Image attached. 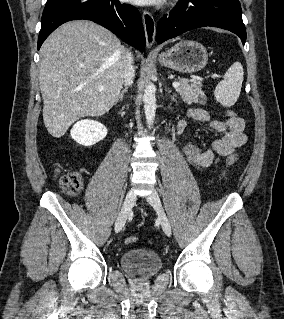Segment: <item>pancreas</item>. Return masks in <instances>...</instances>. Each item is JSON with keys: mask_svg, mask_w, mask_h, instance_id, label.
<instances>
[{"mask_svg": "<svg viewBox=\"0 0 284 319\" xmlns=\"http://www.w3.org/2000/svg\"><path fill=\"white\" fill-rule=\"evenodd\" d=\"M178 82H180L181 85L176 88V91L181 95V98L185 103H198L200 105L206 104L207 97L201 89L202 83L200 81H194L189 84L188 79L179 78Z\"/></svg>", "mask_w": 284, "mask_h": 319, "instance_id": "pancreas-1", "label": "pancreas"}]
</instances>
